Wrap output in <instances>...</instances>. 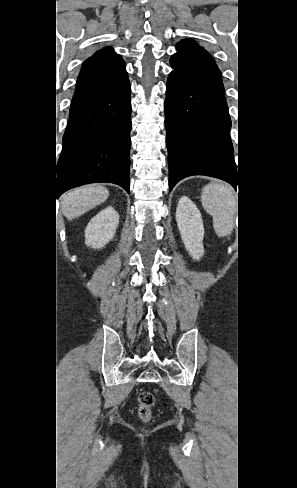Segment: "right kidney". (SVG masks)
Segmentation results:
<instances>
[{
	"instance_id": "right-kidney-1",
	"label": "right kidney",
	"mask_w": 297,
	"mask_h": 488,
	"mask_svg": "<svg viewBox=\"0 0 297 488\" xmlns=\"http://www.w3.org/2000/svg\"><path fill=\"white\" fill-rule=\"evenodd\" d=\"M119 224V214L113 207L101 210L88 223L85 230V244L94 249H101L109 243Z\"/></svg>"
}]
</instances>
